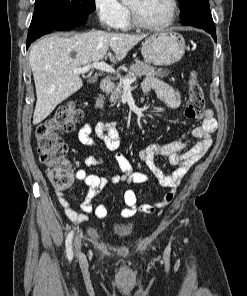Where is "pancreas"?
<instances>
[{
	"label": "pancreas",
	"mask_w": 247,
	"mask_h": 296,
	"mask_svg": "<svg viewBox=\"0 0 247 296\" xmlns=\"http://www.w3.org/2000/svg\"><path fill=\"white\" fill-rule=\"evenodd\" d=\"M167 70H163L162 68H156L151 66L148 63L141 62L139 60H135V63L131 64L130 69L128 73L126 74L125 78L126 79H133V78H138L141 76H148V77H160L164 78L168 75ZM123 84L122 82L118 83L115 85L113 90L111 91V96H110V101L112 103L118 102L123 94ZM104 101L103 98L99 99L96 103V106L100 109L103 108Z\"/></svg>",
	"instance_id": "obj_1"
}]
</instances>
